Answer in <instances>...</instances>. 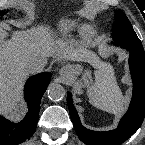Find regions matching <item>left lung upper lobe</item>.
Returning <instances> with one entry per match:
<instances>
[{
	"label": "left lung upper lobe",
	"mask_w": 145,
	"mask_h": 145,
	"mask_svg": "<svg viewBox=\"0 0 145 145\" xmlns=\"http://www.w3.org/2000/svg\"><path fill=\"white\" fill-rule=\"evenodd\" d=\"M116 22L113 24V39L122 47L134 48L144 53L142 44L138 39L126 15L121 11H115Z\"/></svg>",
	"instance_id": "left-lung-upper-lobe-1"
}]
</instances>
